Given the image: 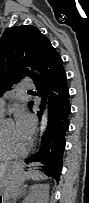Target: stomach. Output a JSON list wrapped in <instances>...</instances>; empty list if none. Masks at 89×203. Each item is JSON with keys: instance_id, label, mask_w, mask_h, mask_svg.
<instances>
[{"instance_id": "stomach-1", "label": "stomach", "mask_w": 89, "mask_h": 203, "mask_svg": "<svg viewBox=\"0 0 89 203\" xmlns=\"http://www.w3.org/2000/svg\"><path fill=\"white\" fill-rule=\"evenodd\" d=\"M22 182L23 179L21 178L18 166H9L1 180L4 198L9 199L18 196Z\"/></svg>"}]
</instances>
